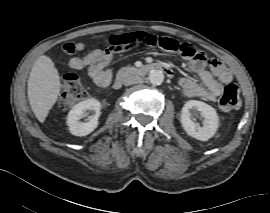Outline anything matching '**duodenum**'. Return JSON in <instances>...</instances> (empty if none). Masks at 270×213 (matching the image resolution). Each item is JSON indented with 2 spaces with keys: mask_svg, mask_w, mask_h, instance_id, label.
Wrapping results in <instances>:
<instances>
[{
  "mask_svg": "<svg viewBox=\"0 0 270 213\" xmlns=\"http://www.w3.org/2000/svg\"><path fill=\"white\" fill-rule=\"evenodd\" d=\"M153 69H158L160 70L162 73L166 74L168 77H172L173 76V72L170 70L168 64L164 63V62H156V63H151V64H146L140 68H138L135 73L138 75H143L146 74L148 72H150ZM130 71L129 70H123L119 73L118 78L116 79L114 86L115 88L119 87L121 85V81L124 77L130 75Z\"/></svg>",
  "mask_w": 270,
  "mask_h": 213,
  "instance_id": "410a0bca",
  "label": "duodenum"
}]
</instances>
